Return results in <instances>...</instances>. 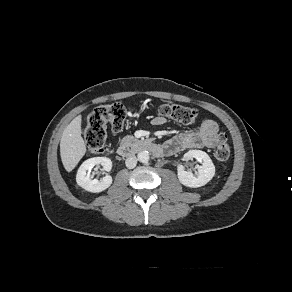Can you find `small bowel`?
I'll use <instances>...</instances> for the list:
<instances>
[{
	"label": "small bowel",
	"mask_w": 292,
	"mask_h": 292,
	"mask_svg": "<svg viewBox=\"0 0 292 292\" xmlns=\"http://www.w3.org/2000/svg\"><path fill=\"white\" fill-rule=\"evenodd\" d=\"M154 126L165 123V119L156 116L151 122ZM218 125L214 120L203 119L198 129L180 133L166 141L164 144L157 145V154H175L187 149L213 148L217 143Z\"/></svg>",
	"instance_id": "c3829d8e"
}]
</instances>
